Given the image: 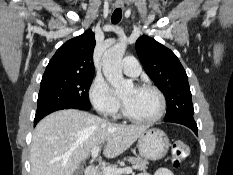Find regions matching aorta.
Instances as JSON below:
<instances>
[{"mask_svg":"<svg viewBox=\"0 0 233 175\" xmlns=\"http://www.w3.org/2000/svg\"><path fill=\"white\" fill-rule=\"evenodd\" d=\"M126 44L121 42L109 48L103 55L102 68L107 81L116 92H122L133 87L131 80H126L122 74L121 61L125 54Z\"/></svg>","mask_w":233,"mask_h":175,"instance_id":"obj_1","label":"aorta"}]
</instances>
